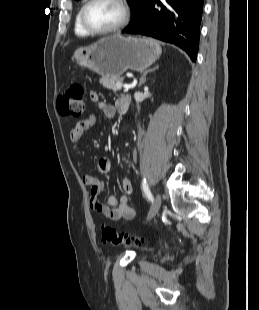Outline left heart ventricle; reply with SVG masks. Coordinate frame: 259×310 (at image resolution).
<instances>
[{
    "mask_svg": "<svg viewBox=\"0 0 259 310\" xmlns=\"http://www.w3.org/2000/svg\"><path fill=\"white\" fill-rule=\"evenodd\" d=\"M122 18V9L114 0H96L86 11V20L95 29L113 27Z\"/></svg>",
    "mask_w": 259,
    "mask_h": 310,
    "instance_id": "obj_1",
    "label": "left heart ventricle"
}]
</instances>
